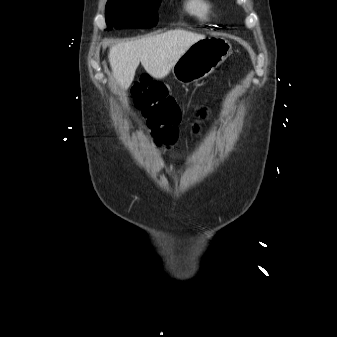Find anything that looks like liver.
I'll return each mask as SVG.
<instances>
[{
  "label": "liver",
  "instance_id": "1",
  "mask_svg": "<svg viewBox=\"0 0 337 337\" xmlns=\"http://www.w3.org/2000/svg\"><path fill=\"white\" fill-rule=\"evenodd\" d=\"M204 38L203 35L175 29L118 43L109 50V63L117 83L128 89L140 63L149 75L162 79L191 45Z\"/></svg>",
  "mask_w": 337,
  "mask_h": 337
}]
</instances>
